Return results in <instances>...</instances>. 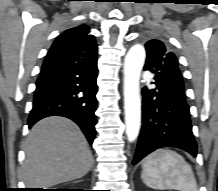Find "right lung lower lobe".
Returning <instances> with one entry per match:
<instances>
[{"label":"right lung lower lobe","instance_id":"obj_1","mask_svg":"<svg viewBox=\"0 0 218 191\" xmlns=\"http://www.w3.org/2000/svg\"><path fill=\"white\" fill-rule=\"evenodd\" d=\"M97 44L60 35L48 51L36 82L31 128L48 116L77 123L90 144L96 135Z\"/></svg>","mask_w":218,"mask_h":191}]
</instances>
